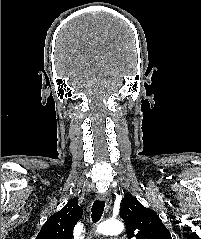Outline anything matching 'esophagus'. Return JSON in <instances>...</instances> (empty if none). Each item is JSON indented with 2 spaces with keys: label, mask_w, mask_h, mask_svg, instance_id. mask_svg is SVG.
<instances>
[{
  "label": "esophagus",
  "mask_w": 201,
  "mask_h": 239,
  "mask_svg": "<svg viewBox=\"0 0 201 239\" xmlns=\"http://www.w3.org/2000/svg\"><path fill=\"white\" fill-rule=\"evenodd\" d=\"M98 199L99 200H102L105 202V205H106V210H109L110 206H111V203H112V198L110 196V194L108 193H99L97 195Z\"/></svg>",
  "instance_id": "obj_1"
}]
</instances>
